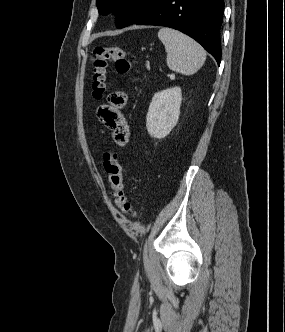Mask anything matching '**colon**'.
<instances>
[{"mask_svg": "<svg viewBox=\"0 0 285 332\" xmlns=\"http://www.w3.org/2000/svg\"><path fill=\"white\" fill-rule=\"evenodd\" d=\"M111 65H114L116 71L121 74L133 71V61L126 56L122 47L97 45L90 59L91 90L96 99L101 98L106 92L108 71ZM134 80H138V77H134ZM103 165L116 206L125 214L136 217V212L133 211L124 192L122 169L117 154L106 152Z\"/></svg>", "mask_w": 285, "mask_h": 332, "instance_id": "5ec220e1", "label": "colon"}]
</instances>
